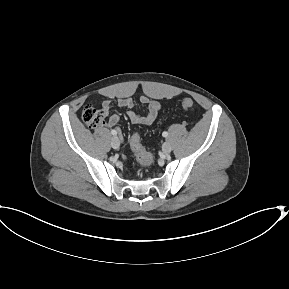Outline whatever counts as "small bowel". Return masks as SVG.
<instances>
[{
  "label": "small bowel",
  "mask_w": 289,
  "mask_h": 289,
  "mask_svg": "<svg viewBox=\"0 0 289 289\" xmlns=\"http://www.w3.org/2000/svg\"><path fill=\"white\" fill-rule=\"evenodd\" d=\"M140 100L143 104L147 105V113L144 115L139 114L133 110L134 103L129 98L119 99L117 101V105L119 107H125L128 109V117L132 123L137 125H150L156 120L161 110V104L156 100H150L146 96H142ZM111 107L112 102L110 100H105L102 103V110L106 114L109 113ZM119 122L120 116L116 113H113L109 116L107 124L109 127H116L119 124Z\"/></svg>",
  "instance_id": "small-bowel-1"
}]
</instances>
